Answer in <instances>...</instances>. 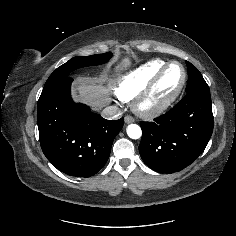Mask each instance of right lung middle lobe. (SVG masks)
Returning <instances> with one entry per match:
<instances>
[{"label": "right lung middle lobe", "mask_w": 236, "mask_h": 236, "mask_svg": "<svg viewBox=\"0 0 236 236\" xmlns=\"http://www.w3.org/2000/svg\"><path fill=\"white\" fill-rule=\"evenodd\" d=\"M112 56L111 53H104V54H97L91 56H84V57H74L70 59L65 64L58 67L48 78L45 85L50 83L56 82L61 78L69 76V73L72 71L82 67V66H92V65H99L107 62L110 57Z\"/></svg>", "instance_id": "right-lung-middle-lobe-1"}]
</instances>
